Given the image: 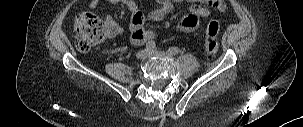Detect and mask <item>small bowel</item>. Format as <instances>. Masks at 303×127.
I'll return each instance as SVG.
<instances>
[{
    "mask_svg": "<svg viewBox=\"0 0 303 127\" xmlns=\"http://www.w3.org/2000/svg\"><path fill=\"white\" fill-rule=\"evenodd\" d=\"M111 4H122L131 12L130 32L131 42L135 45L154 42L156 34L145 30V20L157 22L165 18L173 8L171 0H155L156 7L147 16L138 8L135 0H105ZM176 2L188 1L198 3L189 8L188 13L179 21L178 27L182 31H193L197 28L199 19L208 17L212 11H223L225 5L222 0H174ZM100 0H91L88 4L90 9H95ZM109 25L110 35L119 36L122 33L121 26L111 16L106 17Z\"/></svg>",
    "mask_w": 303,
    "mask_h": 127,
    "instance_id": "small-bowel-1",
    "label": "small bowel"
}]
</instances>
